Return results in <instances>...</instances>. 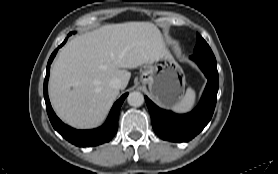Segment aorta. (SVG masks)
I'll return each instance as SVG.
<instances>
[{
    "instance_id": "1",
    "label": "aorta",
    "mask_w": 278,
    "mask_h": 174,
    "mask_svg": "<svg viewBox=\"0 0 278 174\" xmlns=\"http://www.w3.org/2000/svg\"><path fill=\"white\" fill-rule=\"evenodd\" d=\"M127 102L130 106L140 107L144 103V96L138 91L131 92L127 97Z\"/></svg>"
}]
</instances>
